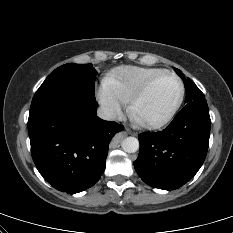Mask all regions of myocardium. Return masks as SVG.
<instances>
[{"mask_svg": "<svg viewBox=\"0 0 233 233\" xmlns=\"http://www.w3.org/2000/svg\"><path fill=\"white\" fill-rule=\"evenodd\" d=\"M165 75H169L174 77L178 83H179V87H180V92H179V96L177 101L175 102V104L173 105V107L169 110V112L162 117L161 119L155 120V121H149V122H143L140 121V123L148 128H160L164 125H166L167 123H169L174 116L176 115V113L178 112V110L180 109L183 100H184V96H185V85L183 80L181 79V77L176 74L173 71L170 70H164L156 75H154L153 77H151L149 80H147L138 90L137 92L132 96V98L130 99V101L128 102V112L131 116H134V108L137 105V103L147 94V92L149 91V89L152 87V85L161 77L165 76ZM135 117V116H134Z\"/></svg>", "mask_w": 233, "mask_h": 233, "instance_id": "obj_1", "label": "myocardium"}]
</instances>
